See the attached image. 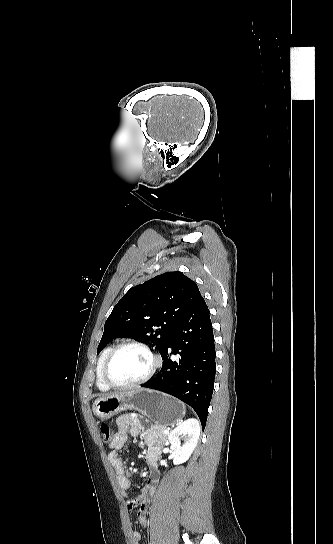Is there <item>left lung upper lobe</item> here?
<instances>
[{
    "instance_id": "5c2ea615",
    "label": "left lung upper lobe",
    "mask_w": 333,
    "mask_h": 544,
    "mask_svg": "<svg viewBox=\"0 0 333 544\" xmlns=\"http://www.w3.org/2000/svg\"><path fill=\"white\" fill-rule=\"evenodd\" d=\"M200 297L197 284L182 272H166L132 287L106 320L97 353L113 339L131 336L148 340L161 354Z\"/></svg>"
}]
</instances>
